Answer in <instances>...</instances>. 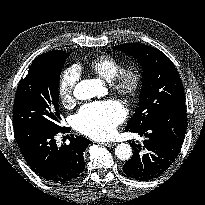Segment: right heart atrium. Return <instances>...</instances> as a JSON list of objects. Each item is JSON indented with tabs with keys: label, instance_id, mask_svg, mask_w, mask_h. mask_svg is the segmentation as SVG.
<instances>
[{
	"label": "right heart atrium",
	"instance_id": "obj_1",
	"mask_svg": "<svg viewBox=\"0 0 205 205\" xmlns=\"http://www.w3.org/2000/svg\"><path fill=\"white\" fill-rule=\"evenodd\" d=\"M79 79V72L75 67L66 69L58 82V96L64 105H70L74 101V88Z\"/></svg>",
	"mask_w": 205,
	"mask_h": 205
}]
</instances>
